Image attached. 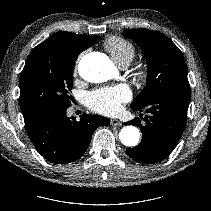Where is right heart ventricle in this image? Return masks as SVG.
Listing matches in <instances>:
<instances>
[{"instance_id":"obj_1","label":"right heart ventricle","mask_w":211,"mask_h":211,"mask_svg":"<svg viewBox=\"0 0 211 211\" xmlns=\"http://www.w3.org/2000/svg\"><path fill=\"white\" fill-rule=\"evenodd\" d=\"M105 49L112 60L120 67L128 66L134 59L136 51L134 45L119 36H111L105 40Z\"/></svg>"}]
</instances>
